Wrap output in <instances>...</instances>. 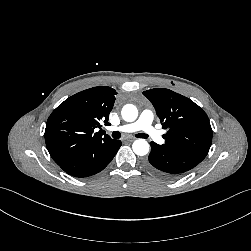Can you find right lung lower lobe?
<instances>
[{"mask_svg":"<svg viewBox=\"0 0 251 251\" xmlns=\"http://www.w3.org/2000/svg\"><path fill=\"white\" fill-rule=\"evenodd\" d=\"M122 145L120 140L92 146L68 162L59 165L66 173L74 177H88L102 171L113 159Z\"/></svg>","mask_w":251,"mask_h":251,"instance_id":"right-lung-lower-lobe-1","label":"right lung lower lobe"}]
</instances>
